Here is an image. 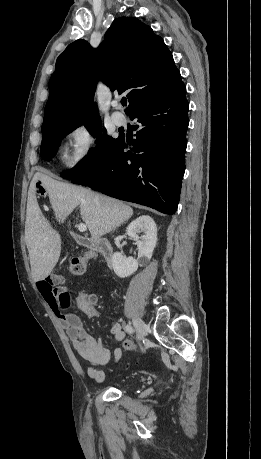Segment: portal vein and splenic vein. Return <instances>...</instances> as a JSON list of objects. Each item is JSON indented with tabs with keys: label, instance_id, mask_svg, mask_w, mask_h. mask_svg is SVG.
Returning <instances> with one entry per match:
<instances>
[{
	"label": "portal vein and splenic vein",
	"instance_id": "18ae733b",
	"mask_svg": "<svg viewBox=\"0 0 261 459\" xmlns=\"http://www.w3.org/2000/svg\"><path fill=\"white\" fill-rule=\"evenodd\" d=\"M78 230L80 232H85L87 230V226L83 223L78 224Z\"/></svg>",
	"mask_w": 261,
	"mask_h": 459
}]
</instances>
